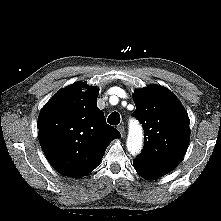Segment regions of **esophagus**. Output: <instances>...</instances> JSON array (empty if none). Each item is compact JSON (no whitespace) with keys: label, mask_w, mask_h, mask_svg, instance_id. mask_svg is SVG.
<instances>
[{"label":"esophagus","mask_w":221,"mask_h":221,"mask_svg":"<svg viewBox=\"0 0 221 221\" xmlns=\"http://www.w3.org/2000/svg\"><path fill=\"white\" fill-rule=\"evenodd\" d=\"M118 130L120 131V134L122 137L125 135V127L123 125L118 126Z\"/></svg>","instance_id":"34e87169"}]
</instances>
